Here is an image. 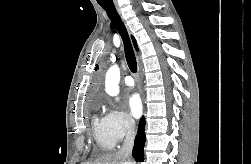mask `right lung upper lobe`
<instances>
[{"label":"right lung upper lobe","instance_id":"obj_1","mask_svg":"<svg viewBox=\"0 0 251 164\" xmlns=\"http://www.w3.org/2000/svg\"><path fill=\"white\" fill-rule=\"evenodd\" d=\"M132 40H133V44H134L135 48H136V49H138V48H137V44H136V41H135L134 37H132Z\"/></svg>","mask_w":251,"mask_h":164}]
</instances>
